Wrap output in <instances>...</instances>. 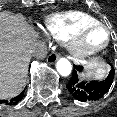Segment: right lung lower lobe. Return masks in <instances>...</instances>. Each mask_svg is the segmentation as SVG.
Returning <instances> with one entry per match:
<instances>
[{"mask_svg":"<svg viewBox=\"0 0 117 117\" xmlns=\"http://www.w3.org/2000/svg\"><path fill=\"white\" fill-rule=\"evenodd\" d=\"M23 96H24V91L21 94H19L17 97L11 99L10 101L0 100V104L15 105L22 100Z\"/></svg>","mask_w":117,"mask_h":117,"instance_id":"right-lung-lower-lobe-1","label":"right lung lower lobe"}]
</instances>
